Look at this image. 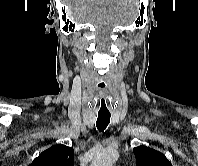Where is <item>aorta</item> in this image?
Segmentation results:
<instances>
[{
	"label": "aorta",
	"instance_id": "1",
	"mask_svg": "<svg viewBox=\"0 0 198 166\" xmlns=\"http://www.w3.org/2000/svg\"><path fill=\"white\" fill-rule=\"evenodd\" d=\"M118 158V153L113 150H105L95 156L91 166H113Z\"/></svg>",
	"mask_w": 198,
	"mask_h": 166
}]
</instances>
